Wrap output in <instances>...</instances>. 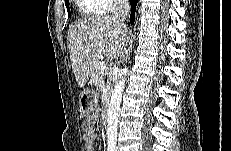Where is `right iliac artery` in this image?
<instances>
[{
    "mask_svg": "<svg viewBox=\"0 0 231 151\" xmlns=\"http://www.w3.org/2000/svg\"><path fill=\"white\" fill-rule=\"evenodd\" d=\"M115 150V146H108V151H114Z\"/></svg>",
    "mask_w": 231,
    "mask_h": 151,
    "instance_id": "82829eb1",
    "label": "right iliac artery"
}]
</instances>
